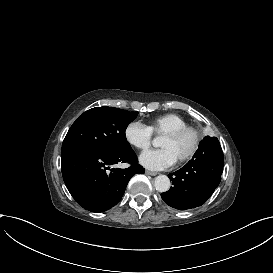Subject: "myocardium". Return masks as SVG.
I'll list each match as a JSON object with an SVG mask.
<instances>
[{
	"instance_id": "myocardium-1",
	"label": "myocardium",
	"mask_w": 273,
	"mask_h": 273,
	"mask_svg": "<svg viewBox=\"0 0 273 273\" xmlns=\"http://www.w3.org/2000/svg\"><path fill=\"white\" fill-rule=\"evenodd\" d=\"M185 133L191 134L192 143L188 152L178 160L179 163H184L190 160L197 153L199 149V145H200V139H201L200 129L192 125H186L184 127L172 129L161 134V136H165V137H177Z\"/></svg>"
}]
</instances>
